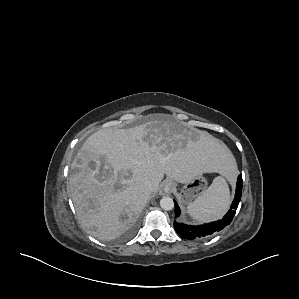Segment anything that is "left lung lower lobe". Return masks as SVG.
Returning <instances> with one entry per match:
<instances>
[{
  "label": "left lung lower lobe",
  "instance_id": "1",
  "mask_svg": "<svg viewBox=\"0 0 299 299\" xmlns=\"http://www.w3.org/2000/svg\"><path fill=\"white\" fill-rule=\"evenodd\" d=\"M242 194V175L240 174L237 179V188H236V195L235 199L231 205V209L227 212V214L223 217L222 220L212 222L209 224L199 225V226H189L182 223L174 222V228L178 235L185 239H198V238H205L209 237L212 234L217 233L218 231L225 228L228 224L231 223L238 204L241 199ZM175 214L179 216L180 209L175 202Z\"/></svg>",
  "mask_w": 299,
  "mask_h": 299
}]
</instances>
